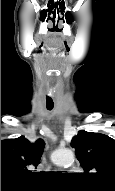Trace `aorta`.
<instances>
[{
  "mask_svg": "<svg viewBox=\"0 0 115 191\" xmlns=\"http://www.w3.org/2000/svg\"><path fill=\"white\" fill-rule=\"evenodd\" d=\"M52 160L58 166L71 165L74 162V154L70 150H58L53 153Z\"/></svg>",
  "mask_w": 115,
  "mask_h": 191,
  "instance_id": "obj_1",
  "label": "aorta"
}]
</instances>
